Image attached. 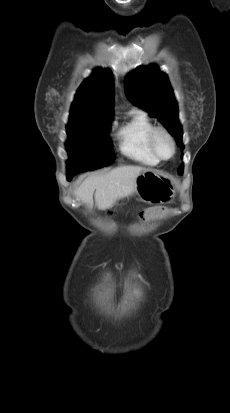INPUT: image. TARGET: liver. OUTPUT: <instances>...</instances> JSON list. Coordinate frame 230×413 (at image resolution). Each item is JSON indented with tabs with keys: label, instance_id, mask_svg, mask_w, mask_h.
I'll return each mask as SVG.
<instances>
[{
	"label": "liver",
	"instance_id": "obj_1",
	"mask_svg": "<svg viewBox=\"0 0 230 413\" xmlns=\"http://www.w3.org/2000/svg\"><path fill=\"white\" fill-rule=\"evenodd\" d=\"M144 170L141 166H120L102 175L86 178L75 190L74 194L88 208L95 205L99 210L111 208L119 200L133 195L136 178Z\"/></svg>",
	"mask_w": 230,
	"mask_h": 413
}]
</instances>
